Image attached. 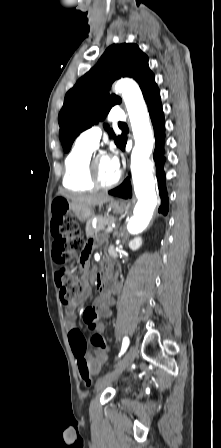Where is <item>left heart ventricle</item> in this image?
<instances>
[{
	"label": "left heart ventricle",
	"mask_w": 221,
	"mask_h": 448,
	"mask_svg": "<svg viewBox=\"0 0 221 448\" xmlns=\"http://www.w3.org/2000/svg\"><path fill=\"white\" fill-rule=\"evenodd\" d=\"M96 165L99 176L104 182H111L117 177V174L110 168L108 156L103 154L97 155Z\"/></svg>",
	"instance_id": "b2bd125f"
}]
</instances>
